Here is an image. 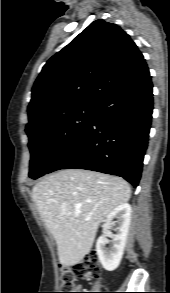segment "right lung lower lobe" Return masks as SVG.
<instances>
[{"instance_id": "98d812e1", "label": "right lung lower lobe", "mask_w": 170, "mask_h": 293, "mask_svg": "<svg viewBox=\"0 0 170 293\" xmlns=\"http://www.w3.org/2000/svg\"><path fill=\"white\" fill-rule=\"evenodd\" d=\"M149 70L109 94L97 108L94 121L51 165L86 169L123 177L137 187L148 145L153 111Z\"/></svg>"}]
</instances>
